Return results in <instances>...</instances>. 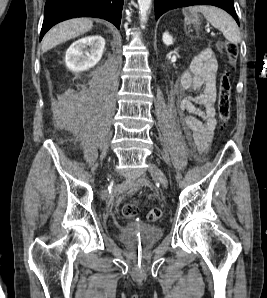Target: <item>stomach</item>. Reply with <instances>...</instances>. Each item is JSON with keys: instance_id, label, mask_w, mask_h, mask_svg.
<instances>
[{"instance_id": "0dacf381", "label": "stomach", "mask_w": 267, "mask_h": 298, "mask_svg": "<svg viewBox=\"0 0 267 298\" xmlns=\"http://www.w3.org/2000/svg\"><path fill=\"white\" fill-rule=\"evenodd\" d=\"M183 15L185 25L197 26L200 22V15L198 13L191 12L190 8L183 9Z\"/></svg>"}]
</instances>
